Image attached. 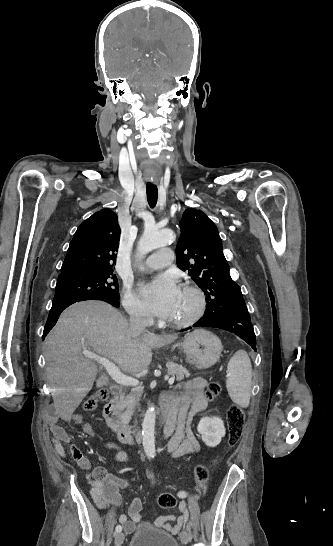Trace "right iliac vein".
I'll return each mask as SVG.
<instances>
[{"label": "right iliac vein", "instance_id": "1", "mask_svg": "<svg viewBox=\"0 0 333 546\" xmlns=\"http://www.w3.org/2000/svg\"><path fill=\"white\" fill-rule=\"evenodd\" d=\"M124 541V534L122 532H119L115 535V545L121 546V544Z\"/></svg>", "mask_w": 333, "mask_h": 546}]
</instances>
